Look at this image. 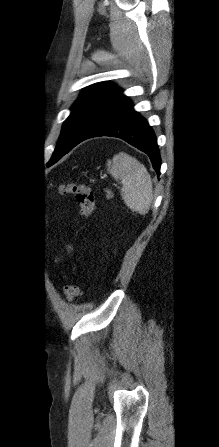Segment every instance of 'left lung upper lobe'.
<instances>
[{"label":"left lung upper lobe","instance_id":"obj_1","mask_svg":"<svg viewBox=\"0 0 219 447\" xmlns=\"http://www.w3.org/2000/svg\"><path fill=\"white\" fill-rule=\"evenodd\" d=\"M125 98L121 89L108 82L96 83L84 89L63 124L52 158L81 142Z\"/></svg>","mask_w":219,"mask_h":447}]
</instances>
